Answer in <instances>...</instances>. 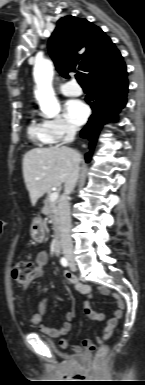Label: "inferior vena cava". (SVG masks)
<instances>
[{
  "label": "inferior vena cava",
  "instance_id": "602c4592",
  "mask_svg": "<svg viewBox=\"0 0 145 385\" xmlns=\"http://www.w3.org/2000/svg\"><path fill=\"white\" fill-rule=\"evenodd\" d=\"M77 127L74 125H68L66 136L64 137L63 144L73 142L77 132ZM79 177V165L75 164L69 174L68 178L64 183V192L59 199L58 213L60 221V232H61V246L63 254L67 256L73 255V242L71 238V216H70V205L69 195L74 190L77 180Z\"/></svg>",
  "mask_w": 145,
  "mask_h": 385
}]
</instances>
